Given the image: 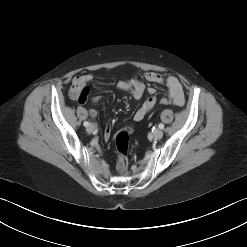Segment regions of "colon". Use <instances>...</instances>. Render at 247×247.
<instances>
[{"label":"colon","mask_w":247,"mask_h":247,"mask_svg":"<svg viewBox=\"0 0 247 247\" xmlns=\"http://www.w3.org/2000/svg\"><path fill=\"white\" fill-rule=\"evenodd\" d=\"M88 93L87 89H84L79 94L80 100H85ZM161 106H169L172 104L168 98H162L159 101ZM129 150V133L127 131H121L116 136V151L118 154V167L124 168L127 162V154Z\"/></svg>","instance_id":"colon-1"}]
</instances>
